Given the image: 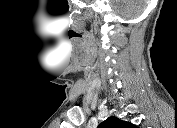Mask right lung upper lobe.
<instances>
[{"label":"right lung upper lobe","instance_id":"right-lung-upper-lobe-1","mask_svg":"<svg viewBox=\"0 0 177 128\" xmlns=\"http://www.w3.org/2000/svg\"><path fill=\"white\" fill-rule=\"evenodd\" d=\"M99 127L101 128H135L136 126L131 122H126L118 119L117 117H108L103 121Z\"/></svg>","mask_w":177,"mask_h":128}]
</instances>
